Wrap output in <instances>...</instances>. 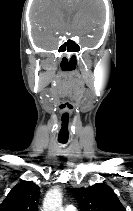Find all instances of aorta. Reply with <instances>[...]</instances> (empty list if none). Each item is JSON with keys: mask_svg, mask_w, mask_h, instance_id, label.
<instances>
[{"mask_svg": "<svg viewBox=\"0 0 133 211\" xmlns=\"http://www.w3.org/2000/svg\"><path fill=\"white\" fill-rule=\"evenodd\" d=\"M42 211H62V192L59 187H54L47 192Z\"/></svg>", "mask_w": 133, "mask_h": 211, "instance_id": "aorta-1", "label": "aorta"}]
</instances>
